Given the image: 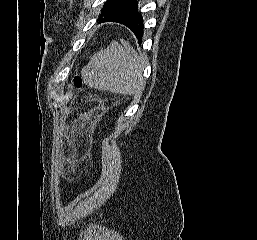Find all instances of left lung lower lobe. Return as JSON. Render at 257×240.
<instances>
[{"label": "left lung lower lobe", "mask_w": 257, "mask_h": 240, "mask_svg": "<svg viewBox=\"0 0 257 240\" xmlns=\"http://www.w3.org/2000/svg\"><path fill=\"white\" fill-rule=\"evenodd\" d=\"M102 22H116L129 28L139 43L143 37V18L138 12L137 0H121L111 7L100 19Z\"/></svg>", "instance_id": "obj_1"}]
</instances>
